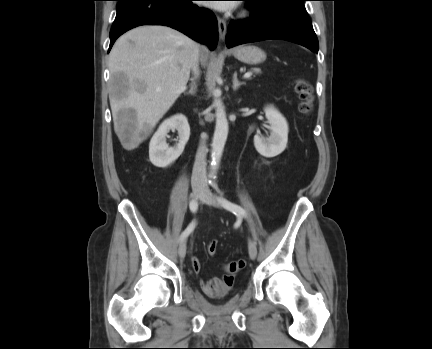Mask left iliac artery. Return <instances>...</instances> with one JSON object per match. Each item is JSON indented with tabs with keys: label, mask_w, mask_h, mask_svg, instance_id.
<instances>
[{
	"label": "left iliac artery",
	"mask_w": 432,
	"mask_h": 349,
	"mask_svg": "<svg viewBox=\"0 0 432 349\" xmlns=\"http://www.w3.org/2000/svg\"><path fill=\"white\" fill-rule=\"evenodd\" d=\"M213 187H217L216 183L212 184ZM219 202L223 205L224 208L228 209L229 211L233 212L234 214L242 215L244 217H247V214L245 210L240 207L239 205L232 203L224 198H220Z\"/></svg>",
	"instance_id": "left-iliac-artery-1"
}]
</instances>
